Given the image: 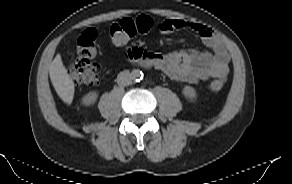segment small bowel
Returning a JSON list of instances; mask_svg holds the SVG:
<instances>
[{
	"mask_svg": "<svg viewBox=\"0 0 292 184\" xmlns=\"http://www.w3.org/2000/svg\"><path fill=\"white\" fill-rule=\"evenodd\" d=\"M156 30L169 34L175 30L190 29L197 33L210 51L181 50L164 55L149 54L157 68L171 79L196 83L227 74L230 55L222 39L210 27L182 19H164L155 22Z\"/></svg>",
	"mask_w": 292,
	"mask_h": 184,
	"instance_id": "c3829d8e",
	"label": "small bowel"
}]
</instances>
